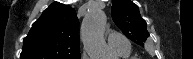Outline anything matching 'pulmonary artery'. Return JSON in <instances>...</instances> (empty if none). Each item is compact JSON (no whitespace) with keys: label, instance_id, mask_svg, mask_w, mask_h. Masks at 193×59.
<instances>
[{"label":"pulmonary artery","instance_id":"1","mask_svg":"<svg viewBox=\"0 0 193 59\" xmlns=\"http://www.w3.org/2000/svg\"><path fill=\"white\" fill-rule=\"evenodd\" d=\"M108 43L117 52H129L130 45L126 42L123 35L109 31L107 33Z\"/></svg>","mask_w":193,"mask_h":59}]
</instances>
